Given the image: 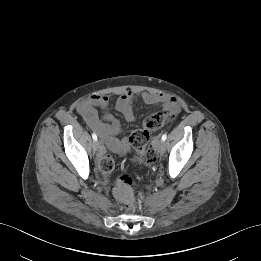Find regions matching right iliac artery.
Here are the masks:
<instances>
[{
    "instance_id": "right-iliac-artery-1",
    "label": "right iliac artery",
    "mask_w": 261,
    "mask_h": 261,
    "mask_svg": "<svg viewBox=\"0 0 261 261\" xmlns=\"http://www.w3.org/2000/svg\"><path fill=\"white\" fill-rule=\"evenodd\" d=\"M92 138L94 141H97V135L95 133L92 134Z\"/></svg>"
}]
</instances>
